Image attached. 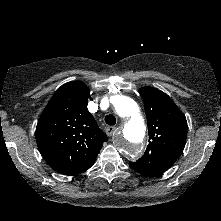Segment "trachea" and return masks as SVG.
Listing matches in <instances>:
<instances>
[{"mask_svg":"<svg viewBox=\"0 0 221 221\" xmlns=\"http://www.w3.org/2000/svg\"><path fill=\"white\" fill-rule=\"evenodd\" d=\"M105 122L110 125L113 126L116 124V118L113 115H107L105 117Z\"/></svg>","mask_w":221,"mask_h":221,"instance_id":"1","label":"trachea"}]
</instances>
